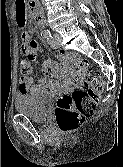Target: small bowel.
I'll return each mask as SVG.
<instances>
[{
  "instance_id": "obj_1",
  "label": "small bowel",
  "mask_w": 123,
  "mask_h": 167,
  "mask_svg": "<svg viewBox=\"0 0 123 167\" xmlns=\"http://www.w3.org/2000/svg\"><path fill=\"white\" fill-rule=\"evenodd\" d=\"M17 14V24L24 26L28 24L26 20L27 13L25 0H15ZM38 24V22H37ZM21 53L29 60L33 59L40 47L36 42L31 41V36L28 32L21 35ZM62 56V53H61ZM42 71L45 74L44 78L34 80L30 77L32 65L28 61L24 67H21V77L19 80L18 92L21 95L33 96H56L64 92L69 87L70 72L69 67L61 65L58 61L52 58H44L41 63Z\"/></svg>"
}]
</instances>
